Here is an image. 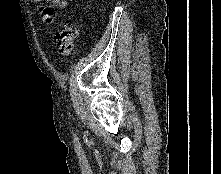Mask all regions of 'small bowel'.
Masks as SVG:
<instances>
[{
	"mask_svg": "<svg viewBox=\"0 0 221 174\" xmlns=\"http://www.w3.org/2000/svg\"><path fill=\"white\" fill-rule=\"evenodd\" d=\"M32 1L38 2L40 0H32ZM50 2L52 4L51 6L45 5L41 8L42 19L43 22L46 24L52 23L55 19V12L53 6L64 8L67 6L68 0H50Z\"/></svg>",
	"mask_w": 221,
	"mask_h": 174,
	"instance_id": "obj_1",
	"label": "small bowel"
}]
</instances>
